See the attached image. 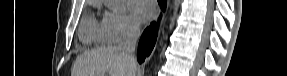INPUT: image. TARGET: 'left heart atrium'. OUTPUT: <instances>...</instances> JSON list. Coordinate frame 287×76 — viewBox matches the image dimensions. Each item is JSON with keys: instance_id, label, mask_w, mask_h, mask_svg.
Returning a JSON list of instances; mask_svg holds the SVG:
<instances>
[{"instance_id": "39dd6f15", "label": "left heart atrium", "mask_w": 287, "mask_h": 76, "mask_svg": "<svg viewBox=\"0 0 287 76\" xmlns=\"http://www.w3.org/2000/svg\"><path fill=\"white\" fill-rule=\"evenodd\" d=\"M130 7L141 21L151 19L156 13V7L152 0H132Z\"/></svg>"}]
</instances>
